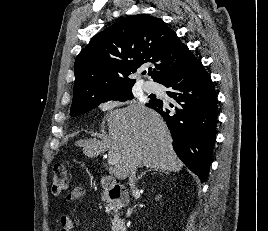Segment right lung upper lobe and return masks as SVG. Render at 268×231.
<instances>
[{"label": "right lung upper lobe", "mask_w": 268, "mask_h": 231, "mask_svg": "<svg viewBox=\"0 0 268 231\" xmlns=\"http://www.w3.org/2000/svg\"><path fill=\"white\" fill-rule=\"evenodd\" d=\"M198 61L162 19L129 16L95 35L77 56L72 104L132 87L128 76L145 63L153 64L149 75L161 83Z\"/></svg>", "instance_id": "1"}]
</instances>
